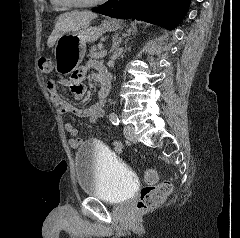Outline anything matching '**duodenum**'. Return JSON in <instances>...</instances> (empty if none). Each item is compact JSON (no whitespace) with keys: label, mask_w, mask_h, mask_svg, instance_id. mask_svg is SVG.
Returning a JSON list of instances; mask_svg holds the SVG:
<instances>
[{"label":"duodenum","mask_w":240,"mask_h":238,"mask_svg":"<svg viewBox=\"0 0 240 238\" xmlns=\"http://www.w3.org/2000/svg\"><path fill=\"white\" fill-rule=\"evenodd\" d=\"M99 81H100V91H99V99L105 100V98L108 96L111 88V78L106 72H101L99 75Z\"/></svg>","instance_id":"obj_1"}]
</instances>
